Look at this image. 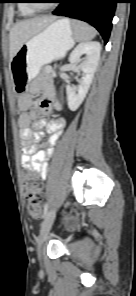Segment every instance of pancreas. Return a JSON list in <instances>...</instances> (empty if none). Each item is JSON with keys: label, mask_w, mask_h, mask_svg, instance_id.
Returning a JSON list of instances; mask_svg holds the SVG:
<instances>
[{"label": "pancreas", "mask_w": 136, "mask_h": 296, "mask_svg": "<svg viewBox=\"0 0 136 296\" xmlns=\"http://www.w3.org/2000/svg\"><path fill=\"white\" fill-rule=\"evenodd\" d=\"M50 72H51V67L45 66L44 69L42 70V75H44L47 78H51Z\"/></svg>", "instance_id": "1"}]
</instances>
